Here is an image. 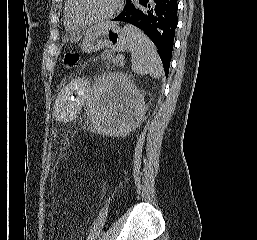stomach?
<instances>
[{
	"mask_svg": "<svg viewBox=\"0 0 257 240\" xmlns=\"http://www.w3.org/2000/svg\"><path fill=\"white\" fill-rule=\"evenodd\" d=\"M80 47L85 53H93L102 48L123 52L128 47L127 33L114 22H103L86 33Z\"/></svg>",
	"mask_w": 257,
	"mask_h": 240,
	"instance_id": "0dacf381",
	"label": "stomach"
}]
</instances>
